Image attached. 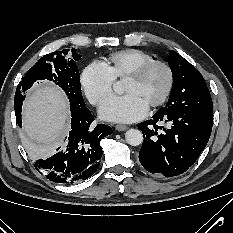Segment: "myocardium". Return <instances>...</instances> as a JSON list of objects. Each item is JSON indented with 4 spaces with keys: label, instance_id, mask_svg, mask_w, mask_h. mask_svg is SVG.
<instances>
[{
    "label": "myocardium",
    "instance_id": "1",
    "mask_svg": "<svg viewBox=\"0 0 233 233\" xmlns=\"http://www.w3.org/2000/svg\"><path fill=\"white\" fill-rule=\"evenodd\" d=\"M156 66L162 67L164 69L167 81L163 93L156 101L148 106L149 109H154L163 105L169 98L174 86V72L172 67L165 61L152 60L141 64L125 77V80L137 81L141 79L151 68Z\"/></svg>",
    "mask_w": 233,
    "mask_h": 233
}]
</instances>
